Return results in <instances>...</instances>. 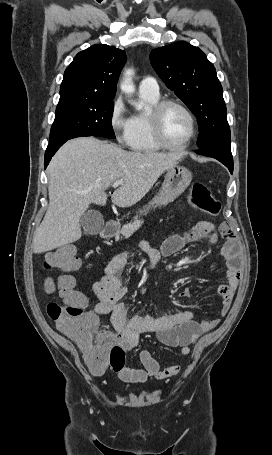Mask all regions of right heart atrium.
I'll list each match as a JSON object with an SVG mask.
<instances>
[{
  "mask_svg": "<svg viewBox=\"0 0 272 455\" xmlns=\"http://www.w3.org/2000/svg\"><path fill=\"white\" fill-rule=\"evenodd\" d=\"M109 124L116 141L120 144H128L130 118L126 116V107L121 97L116 98L112 103Z\"/></svg>",
  "mask_w": 272,
  "mask_h": 455,
  "instance_id": "obj_1",
  "label": "right heart atrium"
}]
</instances>
